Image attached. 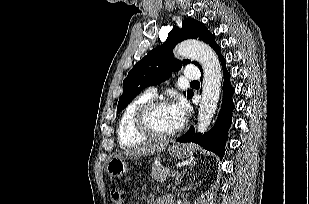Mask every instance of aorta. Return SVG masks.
I'll use <instances>...</instances> for the list:
<instances>
[{
    "label": "aorta",
    "mask_w": 309,
    "mask_h": 204,
    "mask_svg": "<svg viewBox=\"0 0 309 204\" xmlns=\"http://www.w3.org/2000/svg\"><path fill=\"white\" fill-rule=\"evenodd\" d=\"M176 52L179 56L191 58L202 65L204 78L197 130L203 133L210 125L217 109L221 92V65L213 49L200 41H184L176 47Z\"/></svg>",
    "instance_id": "762f6f07"
}]
</instances>
